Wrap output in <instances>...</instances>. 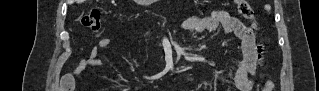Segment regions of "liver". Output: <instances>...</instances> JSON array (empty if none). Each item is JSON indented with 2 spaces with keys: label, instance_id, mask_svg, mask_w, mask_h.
<instances>
[{
  "label": "liver",
  "instance_id": "6515ba94",
  "mask_svg": "<svg viewBox=\"0 0 319 91\" xmlns=\"http://www.w3.org/2000/svg\"><path fill=\"white\" fill-rule=\"evenodd\" d=\"M83 0H78V2H82Z\"/></svg>",
  "mask_w": 319,
  "mask_h": 91
}]
</instances>
